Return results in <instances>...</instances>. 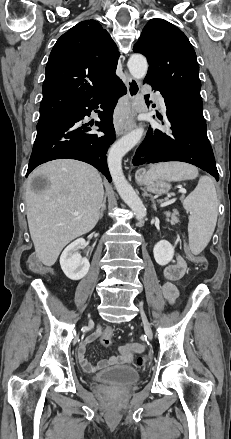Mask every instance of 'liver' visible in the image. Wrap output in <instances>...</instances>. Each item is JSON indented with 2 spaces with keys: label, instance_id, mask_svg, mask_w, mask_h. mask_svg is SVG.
<instances>
[{
  "label": "liver",
  "instance_id": "1",
  "mask_svg": "<svg viewBox=\"0 0 231 439\" xmlns=\"http://www.w3.org/2000/svg\"><path fill=\"white\" fill-rule=\"evenodd\" d=\"M38 176L49 182L41 193L31 188ZM103 195L99 172L81 161L53 160L32 172L26 189L27 220L35 253L45 266L54 265L68 243L95 227Z\"/></svg>",
  "mask_w": 231,
  "mask_h": 439
}]
</instances>
